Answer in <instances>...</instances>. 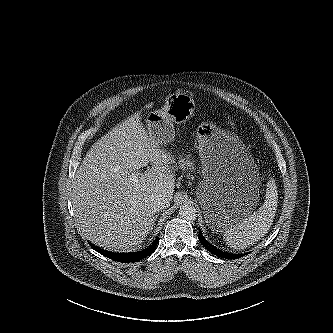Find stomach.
I'll return each instance as SVG.
<instances>
[{"label":"stomach","instance_id":"stomach-1","mask_svg":"<svg viewBox=\"0 0 333 333\" xmlns=\"http://www.w3.org/2000/svg\"><path fill=\"white\" fill-rule=\"evenodd\" d=\"M195 107V101L188 94L169 95L162 109L146 115L148 134L159 145L172 142L175 138L173 122L189 120ZM196 137L203 168V180L197 191L202 205L199 222L208 234L224 236L262 204L266 185L237 136L215 124L203 123L198 126Z\"/></svg>","mask_w":333,"mask_h":333}]
</instances>
